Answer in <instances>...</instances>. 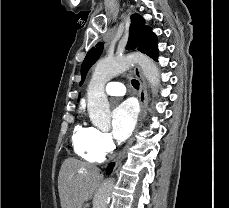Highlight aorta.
Returning a JSON list of instances; mask_svg holds the SVG:
<instances>
[{
	"label": "aorta",
	"mask_w": 229,
	"mask_h": 208,
	"mask_svg": "<svg viewBox=\"0 0 229 208\" xmlns=\"http://www.w3.org/2000/svg\"><path fill=\"white\" fill-rule=\"evenodd\" d=\"M133 63L141 66L144 77L152 88L160 83V73L156 63L147 56L131 54L120 58H110L99 61L94 69L87 90V110L91 122L99 129L110 126V108L104 91L105 84L114 76L124 72ZM114 179H107L99 187L93 200V208H107Z\"/></svg>",
	"instance_id": "aorta-1"
}]
</instances>
